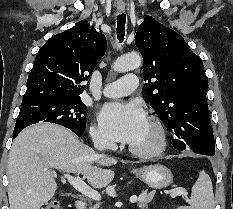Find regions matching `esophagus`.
I'll list each match as a JSON object with an SVG mask.
<instances>
[{"label": "esophagus", "instance_id": "obj_1", "mask_svg": "<svg viewBox=\"0 0 233 209\" xmlns=\"http://www.w3.org/2000/svg\"><path fill=\"white\" fill-rule=\"evenodd\" d=\"M117 9H118L119 12H124V10H125V5L120 4V5L117 6Z\"/></svg>", "mask_w": 233, "mask_h": 209}]
</instances>
